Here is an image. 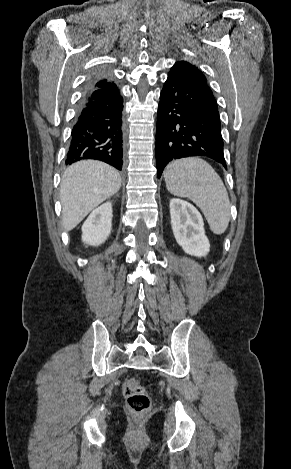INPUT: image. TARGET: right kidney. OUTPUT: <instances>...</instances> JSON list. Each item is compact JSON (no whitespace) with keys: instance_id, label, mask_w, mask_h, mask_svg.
Listing matches in <instances>:
<instances>
[{"instance_id":"right-kidney-1","label":"right kidney","mask_w":291,"mask_h":469,"mask_svg":"<svg viewBox=\"0 0 291 469\" xmlns=\"http://www.w3.org/2000/svg\"><path fill=\"white\" fill-rule=\"evenodd\" d=\"M112 217L111 202L96 208L82 226V241L91 246L104 243L111 233Z\"/></svg>"}]
</instances>
